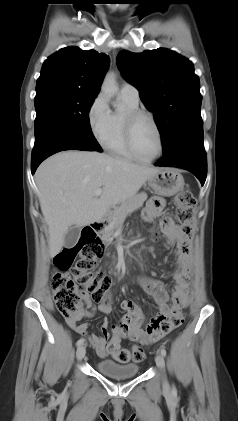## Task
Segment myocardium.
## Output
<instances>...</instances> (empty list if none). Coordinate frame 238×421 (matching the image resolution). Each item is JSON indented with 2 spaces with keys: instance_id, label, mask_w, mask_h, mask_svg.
Masks as SVG:
<instances>
[{
  "instance_id": "myocardium-1",
  "label": "myocardium",
  "mask_w": 238,
  "mask_h": 421,
  "mask_svg": "<svg viewBox=\"0 0 238 421\" xmlns=\"http://www.w3.org/2000/svg\"><path fill=\"white\" fill-rule=\"evenodd\" d=\"M141 117H145L147 119H149L151 121V123L153 124L157 135H158V142H159V149L157 154L150 158V159H145L143 157H141L135 147H134V141H133V131H134V126L136 124V122L141 118ZM124 137H125V142L127 145L128 150L130 151V153L132 154V156L143 163H153L155 162L157 159L160 158V156L163 153L164 150V142H163V135H162V131L161 128L158 124V122L156 121V119L154 118V116L149 113L148 111L142 110V109H134V110H129L124 114Z\"/></svg>"
}]
</instances>
